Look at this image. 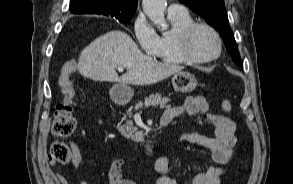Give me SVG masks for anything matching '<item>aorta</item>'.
Instances as JSON below:
<instances>
[{
    "mask_svg": "<svg viewBox=\"0 0 293 184\" xmlns=\"http://www.w3.org/2000/svg\"><path fill=\"white\" fill-rule=\"evenodd\" d=\"M143 11L147 17L162 30H166L168 25L165 20L166 0H143Z\"/></svg>",
    "mask_w": 293,
    "mask_h": 184,
    "instance_id": "obj_1",
    "label": "aorta"
}]
</instances>
